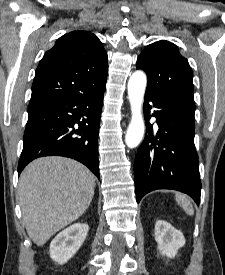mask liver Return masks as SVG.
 Masks as SVG:
<instances>
[{
	"instance_id": "obj_1",
	"label": "liver",
	"mask_w": 225,
	"mask_h": 275,
	"mask_svg": "<svg viewBox=\"0 0 225 275\" xmlns=\"http://www.w3.org/2000/svg\"><path fill=\"white\" fill-rule=\"evenodd\" d=\"M94 187V175L75 160L50 156L31 162L20 175L18 190L31 240L42 246L77 220L89 207Z\"/></svg>"
}]
</instances>
